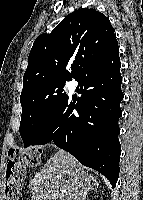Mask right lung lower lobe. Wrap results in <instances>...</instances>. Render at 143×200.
<instances>
[{"mask_svg":"<svg viewBox=\"0 0 143 200\" xmlns=\"http://www.w3.org/2000/svg\"><path fill=\"white\" fill-rule=\"evenodd\" d=\"M74 80L78 82L76 91L82 96H67L31 145L53 141L83 165L103 174L115 187L121 154L118 120L123 99L119 47L84 68Z\"/></svg>","mask_w":143,"mask_h":200,"instance_id":"1","label":"right lung lower lobe"}]
</instances>
